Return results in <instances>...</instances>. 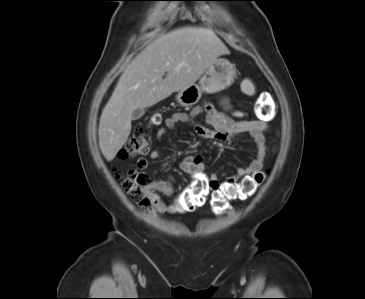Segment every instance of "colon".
Instances as JSON below:
<instances>
[{
  "mask_svg": "<svg viewBox=\"0 0 365 299\" xmlns=\"http://www.w3.org/2000/svg\"><path fill=\"white\" fill-rule=\"evenodd\" d=\"M247 89V86L244 85ZM261 117H269L271 112L266 106L259 110ZM149 144L142 129L134 131L126 145L119 151L120 159H127L133 155L148 151ZM117 178L122 190L129 198L143 209H150L153 205V198L149 188L147 177L133 168H128L126 172L117 173ZM266 173L258 172L244 177L239 182L224 184H208L200 181L189 185L176 201L175 212H192L202 206L209 194L211 198V209L215 214H222L230 200L247 199L252 196L257 188L264 182Z\"/></svg>",
  "mask_w": 365,
  "mask_h": 299,
  "instance_id": "1",
  "label": "colon"
}]
</instances>
